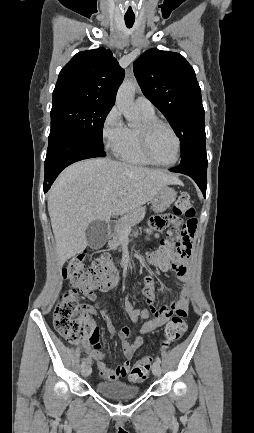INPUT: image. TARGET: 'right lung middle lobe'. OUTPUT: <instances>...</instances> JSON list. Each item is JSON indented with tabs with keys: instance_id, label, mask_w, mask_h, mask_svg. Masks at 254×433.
Returning a JSON list of instances; mask_svg holds the SVG:
<instances>
[{
	"instance_id": "obj_1",
	"label": "right lung middle lobe",
	"mask_w": 254,
	"mask_h": 433,
	"mask_svg": "<svg viewBox=\"0 0 254 433\" xmlns=\"http://www.w3.org/2000/svg\"><path fill=\"white\" fill-rule=\"evenodd\" d=\"M111 106L88 101L52 105L49 137L67 131L103 149V125Z\"/></svg>"
}]
</instances>
